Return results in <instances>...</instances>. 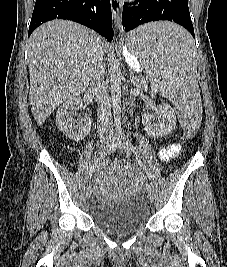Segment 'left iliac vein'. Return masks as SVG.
Masks as SVG:
<instances>
[{"mask_svg":"<svg viewBox=\"0 0 227 267\" xmlns=\"http://www.w3.org/2000/svg\"><path fill=\"white\" fill-rule=\"evenodd\" d=\"M112 139L113 141L117 143V148L119 151H125L128 149L124 140L118 137L116 134L112 136ZM146 191H147L149 199L153 202L154 201V189L150 184H146Z\"/></svg>","mask_w":227,"mask_h":267,"instance_id":"4c4485c4","label":"left iliac vein"}]
</instances>
